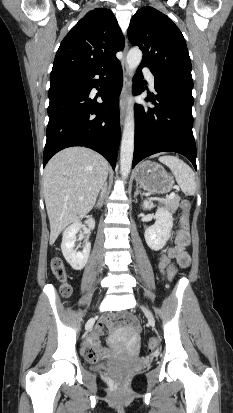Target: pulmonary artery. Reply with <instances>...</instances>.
<instances>
[{
	"instance_id": "1",
	"label": "pulmonary artery",
	"mask_w": 233,
	"mask_h": 413,
	"mask_svg": "<svg viewBox=\"0 0 233 413\" xmlns=\"http://www.w3.org/2000/svg\"><path fill=\"white\" fill-rule=\"evenodd\" d=\"M144 74H145V76H146V78H147V80H148V82H149L150 87H151V88H154L155 77H154V75L152 74V72H151L149 69L145 68V69H144Z\"/></svg>"
}]
</instances>
